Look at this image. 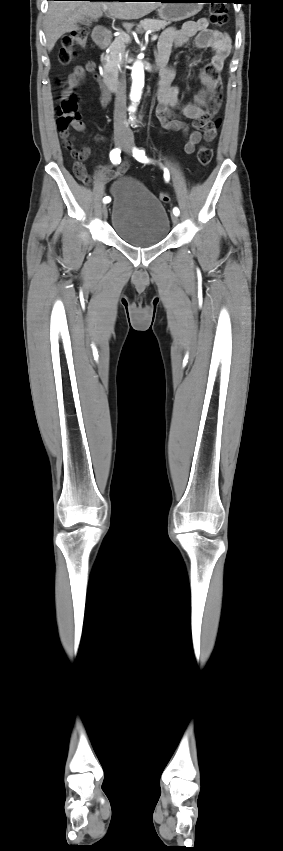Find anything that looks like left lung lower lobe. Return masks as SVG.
<instances>
[{
	"label": "left lung lower lobe",
	"instance_id": "1",
	"mask_svg": "<svg viewBox=\"0 0 283 851\" xmlns=\"http://www.w3.org/2000/svg\"><path fill=\"white\" fill-rule=\"evenodd\" d=\"M167 1H169V0H161V2H167ZM227 3H237V2L230 1V2H227Z\"/></svg>",
	"mask_w": 283,
	"mask_h": 851
}]
</instances>
